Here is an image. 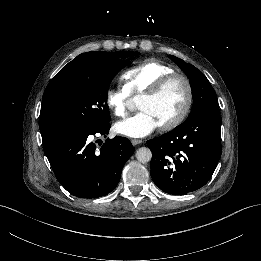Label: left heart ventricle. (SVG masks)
Listing matches in <instances>:
<instances>
[{
	"mask_svg": "<svg viewBox=\"0 0 261 261\" xmlns=\"http://www.w3.org/2000/svg\"><path fill=\"white\" fill-rule=\"evenodd\" d=\"M186 88L181 80L171 83L158 97L141 99L139 109L149 112L159 126L173 119L183 108Z\"/></svg>",
	"mask_w": 261,
	"mask_h": 261,
	"instance_id": "1",
	"label": "left heart ventricle"
}]
</instances>
